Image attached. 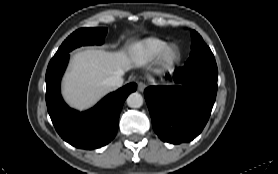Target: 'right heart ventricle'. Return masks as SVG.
Masks as SVG:
<instances>
[{
	"instance_id": "obj_1",
	"label": "right heart ventricle",
	"mask_w": 278,
	"mask_h": 174,
	"mask_svg": "<svg viewBox=\"0 0 278 174\" xmlns=\"http://www.w3.org/2000/svg\"><path fill=\"white\" fill-rule=\"evenodd\" d=\"M168 43L158 37H149L136 43L133 53L144 62L155 60L164 46Z\"/></svg>"
}]
</instances>
